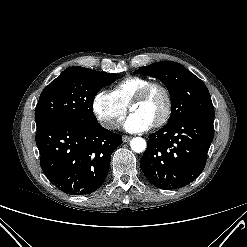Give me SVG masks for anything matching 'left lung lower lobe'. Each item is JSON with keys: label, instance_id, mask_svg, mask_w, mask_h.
<instances>
[{"label": "left lung lower lobe", "instance_id": "obj_1", "mask_svg": "<svg viewBox=\"0 0 247 247\" xmlns=\"http://www.w3.org/2000/svg\"><path fill=\"white\" fill-rule=\"evenodd\" d=\"M213 120L185 117L149 136L140 161L146 178L157 188L178 189L203 171L213 140Z\"/></svg>", "mask_w": 247, "mask_h": 247}]
</instances>
